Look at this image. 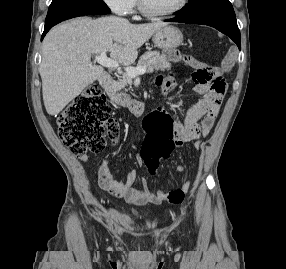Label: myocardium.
I'll return each mask as SVG.
<instances>
[{
    "label": "myocardium",
    "instance_id": "f54148a6",
    "mask_svg": "<svg viewBox=\"0 0 286 269\" xmlns=\"http://www.w3.org/2000/svg\"><path fill=\"white\" fill-rule=\"evenodd\" d=\"M136 2L138 5V9L143 16L150 18V19H162V18H166V17L172 16L180 12L187 5L188 0H180L179 4L176 7L172 8L171 10L165 11V12L150 11L146 7L144 0H136Z\"/></svg>",
    "mask_w": 286,
    "mask_h": 269
}]
</instances>
